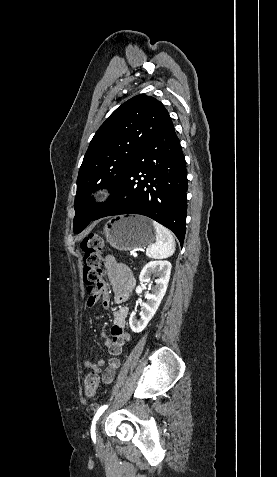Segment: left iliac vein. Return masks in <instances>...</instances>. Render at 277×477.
I'll use <instances>...</instances> for the list:
<instances>
[{"label":"left iliac vein","instance_id":"1","mask_svg":"<svg viewBox=\"0 0 277 477\" xmlns=\"http://www.w3.org/2000/svg\"><path fill=\"white\" fill-rule=\"evenodd\" d=\"M100 440H101V438H100L99 433L97 431V441L100 442Z\"/></svg>","mask_w":277,"mask_h":477}]
</instances>
